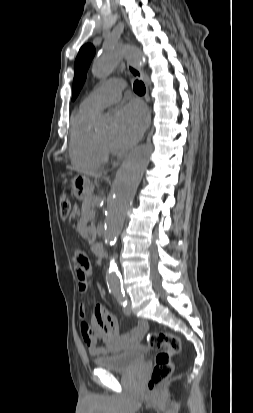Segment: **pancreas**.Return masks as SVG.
<instances>
[{
	"mask_svg": "<svg viewBox=\"0 0 253 413\" xmlns=\"http://www.w3.org/2000/svg\"><path fill=\"white\" fill-rule=\"evenodd\" d=\"M93 200L94 196L92 194H89L87 197H85L83 204H82V212L86 213L88 216V219L91 221V226L88 228L90 237L88 238V243L92 245L95 241L96 238V232H95V227H94V217H95V211L93 210Z\"/></svg>",
	"mask_w": 253,
	"mask_h": 413,
	"instance_id": "obj_1",
	"label": "pancreas"
}]
</instances>
